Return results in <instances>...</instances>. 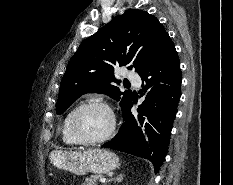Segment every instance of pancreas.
<instances>
[{"label":"pancreas","instance_id":"cf45deb5","mask_svg":"<svg viewBox=\"0 0 233 185\" xmlns=\"http://www.w3.org/2000/svg\"><path fill=\"white\" fill-rule=\"evenodd\" d=\"M101 178V175H91L86 178L82 185H97V180Z\"/></svg>","mask_w":233,"mask_h":185}]
</instances>
